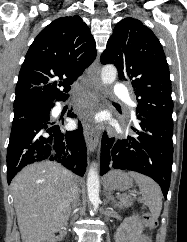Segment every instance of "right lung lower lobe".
<instances>
[{"instance_id": "98d812e1", "label": "right lung lower lobe", "mask_w": 187, "mask_h": 242, "mask_svg": "<svg viewBox=\"0 0 187 242\" xmlns=\"http://www.w3.org/2000/svg\"><path fill=\"white\" fill-rule=\"evenodd\" d=\"M53 106L52 103L45 110L13 120L7 149L8 184L24 166L44 160L56 161L77 175H84L87 149L82 126L79 123L77 130L61 132L58 125L50 122ZM68 116L76 117L71 111Z\"/></svg>"}]
</instances>
